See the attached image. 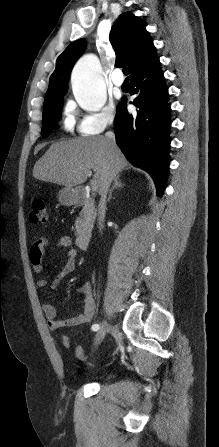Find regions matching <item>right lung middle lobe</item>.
Segmentation results:
<instances>
[{"mask_svg":"<svg viewBox=\"0 0 219 447\" xmlns=\"http://www.w3.org/2000/svg\"><path fill=\"white\" fill-rule=\"evenodd\" d=\"M64 94H57L44 100L42 135L50 133L59 121Z\"/></svg>","mask_w":219,"mask_h":447,"instance_id":"dd1d6c3e","label":"right lung middle lobe"}]
</instances>
